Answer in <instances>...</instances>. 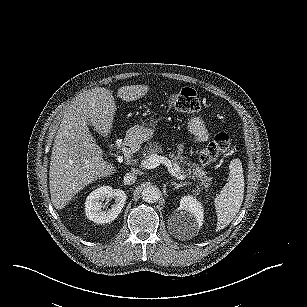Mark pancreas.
<instances>
[{
    "instance_id": "cf45deb5",
    "label": "pancreas",
    "mask_w": 307,
    "mask_h": 307,
    "mask_svg": "<svg viewBox=\"0 0 307 307\" xmlns=\"http://www.w3.org/2000/svg\"><path fill=\"white\" fill-rule=\"evenodd\" d=\"M161 153L160 146L154 142V141H148L144 147L140 150V155L144 159V161L147 159V157L151 153ZM176 158L173 157L172 160H175ZM186 168H182L180 164H176L175 167H178V173L183 175L185 178H192L193 180H199L200 185H202L204 188L208 189L211 188L213 183V178L207 176V172L204 171L199 165L189 163L186 165ZM199 192L200 190H195Z\"/></svg>"
}]
</instances>
